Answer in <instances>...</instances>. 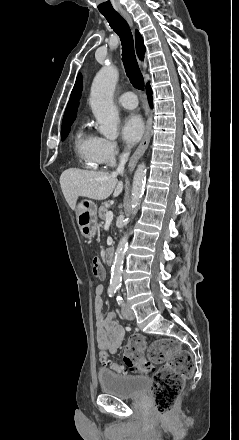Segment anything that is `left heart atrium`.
<instances>
[{"instance_id":"obj_1","label":"left heart atrium","mask_w":239,"mask_h":440,"mask_svg":"<svg viewBox=\"0 0 239 440\" xmlns=\"http://www.w3.org/2000/svg\"><path fill=\"white\" fill-rule=\"evenodd\" d=\"M143 129L142 119L136 113L124 115L119 122L120 133L128 144L137 142L142 136Z\"/></svg>"}]
</instances>
